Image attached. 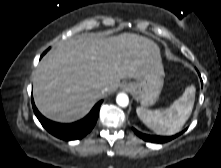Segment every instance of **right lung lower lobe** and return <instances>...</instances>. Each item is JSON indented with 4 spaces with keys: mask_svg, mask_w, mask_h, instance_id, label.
I'll return each instance as SVG.
<instances>
[{
    "mask_svg": "<svg viewBox=\"0 0 221 168\" xmlns=\"http://www.w3.org/2000/svg\"><path fill=\"white\" fill-rule=\"evenodd\" d=\"M101 104L102 101H99L90 113L82 120L70 124H61L50 121L42 116L37 110L32 99L34 113L42 126L55 137L66 141L81 139L93 129L98 119Z\"/></svg>",
    "mask_w": 221,
    "mask_h": 168,
    "instance_id": "obj_1",
    "label": "right lung lower lobe"
}]
</instances>
